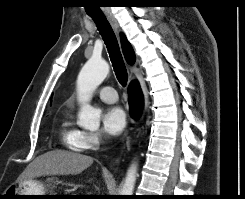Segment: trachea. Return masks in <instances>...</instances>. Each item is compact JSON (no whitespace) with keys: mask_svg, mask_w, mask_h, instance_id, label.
Here are the masks:
<instances>
[{"mask_svg":"<svg viewBox=\"0 0 245 199\" xmlns=\"http://www.w3.org/2000/svg\"><path fill=\"white\" fill-rule=\"evenodd\" d=\"M91 17L95 22L107 47L117 80L124 87L127 84L128 74L113 29L104 15Z\"/></svg>","mask_w":245,"mask_h":199,"instance_id":"3493384b","label":"trachea"}]
</instances>
